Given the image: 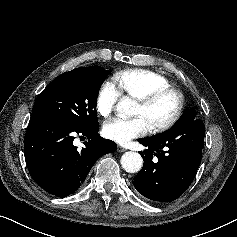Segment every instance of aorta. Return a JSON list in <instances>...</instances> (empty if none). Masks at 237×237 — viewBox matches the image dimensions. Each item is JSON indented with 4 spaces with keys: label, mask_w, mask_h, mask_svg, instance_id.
<instances>
[{
    "label": "aorta",
    "mask_w": 237,
    "mask_h": 237,
    "mask_svg": "<svg viewBox=\"0 0 237 237\" xmlns=\"http://www.w3.org/2000/svg\"><path fill=\"white\" fill-rule=\"evenodd\" d=\"M134 102L125 98L117 104V111L123 116H130L133 114ZM122 168L128 173H136L140 171L143 165V159L137 152L128 151L121 157Z\"/></svg>",
    "instance_id": "762f6f07"
}]
</instances>
